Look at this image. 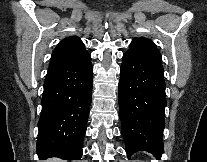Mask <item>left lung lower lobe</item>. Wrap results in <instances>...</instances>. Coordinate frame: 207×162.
<instances>
[{
	"label": "left lung lower lobe",
	"instance_id": "left-lung-lower-lobe-1",
	"mask_svg": "<svg viewBox=\"0 0 207 162\" xmlns=\"http://www.w3.org/2000/svg\"><path fill=\"white\" fill-rule=\"evenodd\" d=\"M165 106L161 61L126 52L120 68L119 117L128 157L147 151L160 160Z\"/></svg>",
	"mask_w": 207,
	"mask_h": 162
}]
</instances>
